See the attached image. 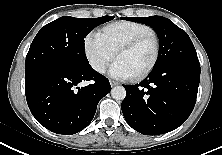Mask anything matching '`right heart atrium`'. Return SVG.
<instances>
[{"instance_id":"d8ad5b80","label":"right heart atrium","mask_w":222,"mask_h":155,"mask_svg":"<svg viewBox=\"0 0 222 155\" xmlns=\"http://www.w3.org/2000/svg\"><path fill=\"white\" fill-rule=\"evenodd\" d=\"M84 49L89 64L98 73H103L115 56V51L108 45L100 32H91L86 36Z\"/></svg>"}]
</instances>
